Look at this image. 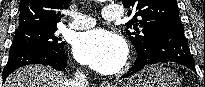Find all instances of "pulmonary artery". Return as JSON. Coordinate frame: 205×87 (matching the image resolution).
Returning a JSON list of instances; mask_svg holds the SVG:
<instances>
[{
  "instance_id": "e3ab8cb5",
  "label": "pulmonary artery",
  "mask_w": 205,
  "mask_h": 87,
  "mask_svg": "<svg viewBox=\"0 0 205 87\" xmlns=\"http://www.w3.org/2000/svg\"><path fill=\"white\" fill-rule=\"evenodd\" d=\"M122 11L118 6H106L103 9L102 16L107 21H113L122 16ZM73 21L69 24L72 29H88L96 24L95 18L90 15L74 13L72 14Z\"/></svg>"
}]
</instances>
